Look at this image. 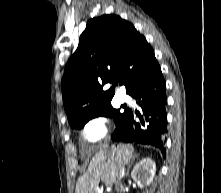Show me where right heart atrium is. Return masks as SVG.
<instances>
[{
	"instance_id": "right-heart-atrium-1",
	"label": "right heart atrium",
	"mask_w": 221,
	"mask_h": 193,
	"mask_svg": "<svg viewBox=\"0 0 221 193\" xmlns=\"http://www.w3.org/2000/svg\"><path fill=\"white\" fill-rule=\"evenodd\" d=\"M110 130V123L105 116L91 118L83 128L84 138L92 144L101 142L106 138Z\"/></svg>"
}]
</instances>
